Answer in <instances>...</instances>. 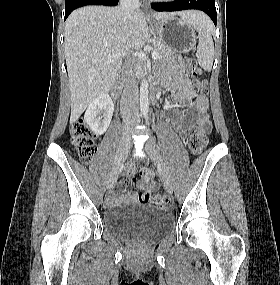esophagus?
<instances>
[{"instance_id": "34e87169", "label": "esophagus", "mask_w": 280, "mask_h": 285, "mask_svg": "<svg viewBox=\"0 0 280 285\" xmlns=\"http://www.w3.org/2000/svg\"><path fill=\"white\" fill-rule=\"evenodd\" d=\"M144 10H145L146 13H150L149 5L146 4L145 7H144Z\"/></svg>"}]
</instances>
